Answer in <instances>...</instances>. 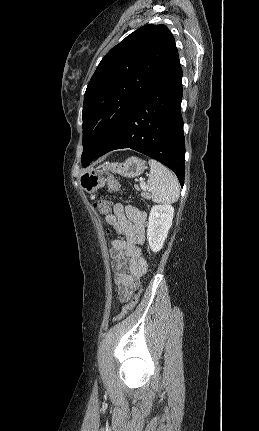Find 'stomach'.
Here are the masks:
<instances>
[{"mask_svg": "<svg viewBox=\"0 0 259 431\" xmlns=\"http://www.w3.org/2000/svg\"><path fill=\"white\" fill-rule=\"evenodd\" d=\"M145 162L135 156L129 157L122 163H109L103 169H91L83 172L79 177L80 187L87 193L93 194L105 185L104 171L118 173L126 178H134L143 173Z\"/></svg>", "mask_w": 259, "mask_h": 431, "instance_id": "stomach-1", "label": "stomach"}]
</instances>
